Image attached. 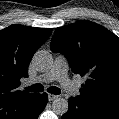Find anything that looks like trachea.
I'll return each instance as SVG.
<instances>
[{
  "label": "trachea",
  "instance_id": "trachea-1",
  "mask_svg": "<svg viewBox=\"0 0 119 119\" xmlns=\"http://www.w3.org/2000/svg\"><path fill=\"white\" fill-rule=\"evenodd\" d=\"M26 90L30 91V92H42L44 91V87L42 84H34V85H31L29 87H26ZM47 91L51 94H55V95H58L61 93V90L58 88V87H49L47 89Z\"/></svg>",
  "mask_w": 119,
  "mask_h": 119
}]
</instances>
